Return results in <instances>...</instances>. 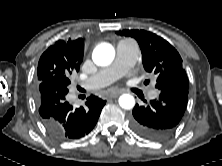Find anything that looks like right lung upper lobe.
Returning a JSON list of instances; mask_svg holds the SVG:
<instances>
[{"mask_svg": "<svg viewBox=\"0 0 222 166\" xmlns=\"http://www.w3.org/2000/svg\"><path fill=\"white\" fill-rule=\"evenodd\" d=\"M84 43L81 38L77 40L63 41L59 40L54 45L50 46L42 56H81L83 54Z\"/></svg>", "mask_w": 222, "mask_h": 166, "instance_id": "right-lung-upper-lobe-1", "label": "right lung upper lobe"}]
</instances>
